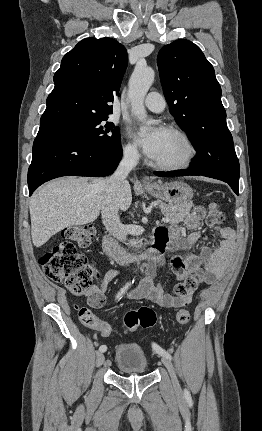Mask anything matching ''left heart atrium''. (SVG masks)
Wrapping results in <instances>:
<instances>
[{
	"instance_id": "obj_1",
	"label": "left heart atrium",
	"mask_w": 262,
	"mask_h": 431,
	"mask_svg": "<svg viewBox=\"0 0 262 431\" xmlns=\"http://www.w3.org/2000/svg\"><path fill=\"white\" fill-rule=\"evenodd\" d=\"M163 129H155L148 134H137L136 139L143 152L150 158H154L159 150Z\"/></svg>"
}]
</instances>
